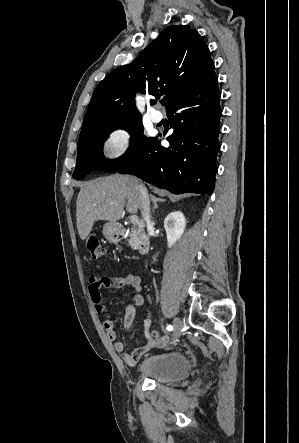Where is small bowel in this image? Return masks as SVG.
Returning <instances> with one entry per match:
<instances>
[{"label":"small bowel","instance_id":"1","mask_svg":"<svg viewBox=\"0 0 299 443\" xmlns=\"http://www.w3.org/2000/svg\"><path fill=\"white\" fill-rule=\"evenodd\" d=\"M122 287L134 288L137 293L134 296L133 302L126 305L125 314L123 319V328L129 330L137 321L138 315L136 307L144 304V298L141 294L142 281L136 274H128L125 276H101L98 278H91L89 282V294L98 314L105 317L103 326L106 331L107 337L113 342L114 350L121 354L122 360L125 364L133 366L137 360L146 352L153 348H163L168 345L169 337L166 335H160L157 331L151 329L152 325V312L147 308L146 316L143 319V335L145 342L134 349L132 352L124 351V343L117 340V334L114 329V324L111 320L110 313L103 297L104 289H119Z\"/></svg>","mask_w":299,"mask_h":443}]
</instances>
